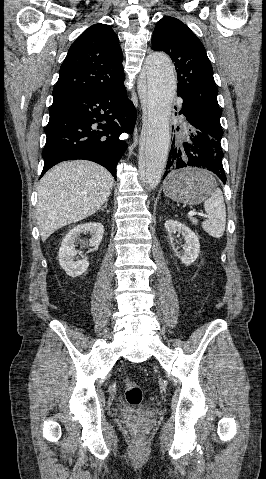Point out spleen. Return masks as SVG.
<instances>
[{"mask_svg": "<svg viewBox=\"0 0 266 479\" xmlns=\"http://www.w3.org/2000/svg\"><path fill=\"white\" fill-rule=\"evenodd\" d=\"M204 209L208 219L202 222L203 230L214 238L222 237L226 226V207L221 189L216 188L205 200Z\"/></svg>", "mask_w": 266, "mask_h": 479, "instance_id": "3e777b00", "label": "spleen"}]
</instances>
